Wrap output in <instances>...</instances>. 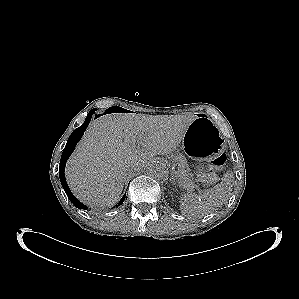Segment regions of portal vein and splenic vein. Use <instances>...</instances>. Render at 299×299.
I'll return each mask as SVG.
<instances>
[{
	"mask_svg": "<svg viewBox=\"0 0 299 299\" xmlns=\"http://www.w3.org/2000/svg\"><path fill=\"white\" fill-rule=\"evenodd\" d=\"M140 145V142H137V146H139Z\"/></svg>",
	"mask_w": 299,
	"mask_h": 299,
	"instance_id": "obj_1",
	"label": "portal vein and splenic vein"
}]
</instances>
